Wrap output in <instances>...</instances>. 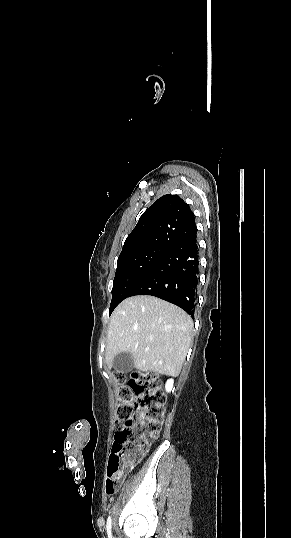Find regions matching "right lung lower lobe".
<instances>
[{
  "mask_svg": "<svg viewBox=\"0 0 291 538\" xmlns=\"http://www.w3.org/2000/svg\"><path fill=\"white\" fill-rule=\"evenodd\" d=\"M196 237L194 235L172 247L136 285L130 296L152 295L179 306L193 316L199 282Z\"/></svg>",
  "mask_w": 291,
  "mask_h": 538,
  "instance_id": "right-lung-lower-lobe-1",
  "label": "right lung lower lobe"
}]
</instances>
